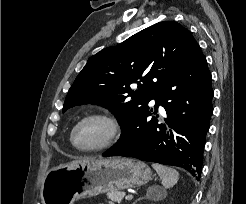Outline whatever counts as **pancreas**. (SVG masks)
Returning a JSON list of instances; mask_svg holds the SVG:
<instances>
[{
	"label": "pancreas",
	"instance_id": "pancreas-1",
	"mask_svg": "<svg viewBox=\"0 0 246 204\" xmlns=\"http://www.w3.org/2000/svg\"><path fill=\"white\" fill-rule=\"evenodd\" d=\"M107 197L113 202L121 203L123 200L125 193L122 191H109L107 192Z\"/></svg>",
	"mask_w": 246,
	"mask_h": 204
}]
</instances>
